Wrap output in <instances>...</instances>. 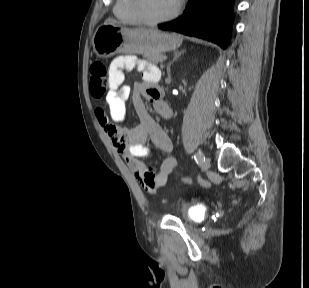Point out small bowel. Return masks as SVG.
<instances>
[{"label":"small bowel","mask_w":309,"mask_h":288,"mask_svg":"<svg viewBox=\"0 0 309 288\" xmlns=\"http://www.w3.org/2000/svg\"><path fill=\"white\" fill-rule=\"evenodd\" d=\"M134 67L144 73V81L135 84L133 89L125 85V73ZM110 90L106 96L109 116L102 108L96 110V117L104 127L105 133L114 148L121 153L134 177L149 193H158L168 180L176 166V159L171 155L172 141L168 133L148 113L143 98L153 104L155 112L163 118L172 114L170 106L163 100V90L158 85V69L145 60H137L132 55L115 58L108 69ZM131 96L138 113L140 123L133 128L115 125L122 121L126 113V101ZM150 139L166 157L154 170L141 161L150 153L146 142Z\"/></svg>","instance_id":"c3829d8e"}]
</instances>
